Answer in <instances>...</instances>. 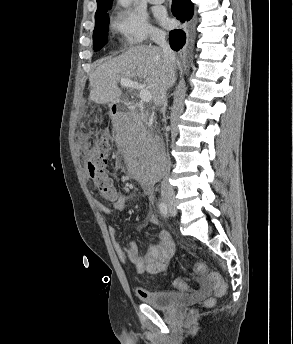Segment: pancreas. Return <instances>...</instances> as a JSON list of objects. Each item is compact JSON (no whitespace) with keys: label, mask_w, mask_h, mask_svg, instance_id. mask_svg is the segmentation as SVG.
Listing matches in <instances>:
<instances>
[{"label":"pancreas","mask_w":293,"mask_h":344,"mask_svg":"<svg viewBox=\"0 0 293 344\" xmlns=\"http://www.w3.org/2000/svg\"><path fill=\"white\" fill-rule=\"evenodd\" d=\"M143 126H141L138 130H132L131 134L137 135V132H142Z\"/></svg>","instance_id":"obj_1"}]
</instances>
